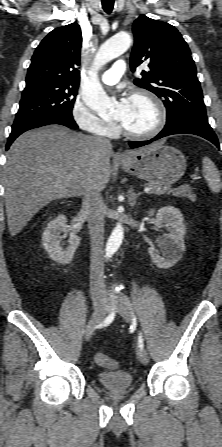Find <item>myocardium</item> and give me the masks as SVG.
Instances as JSON below:
<instances>
[{
	"label": "myocardium",
	"instance_id": "obj_1",
	"mask_svg": "<svg viewBox=\"0 0 222 447\" xmlns=\"http://www.w3.org/2000/svg\"><path fill=\"white\" fill-rule=\"evenodd\" d=\"M135 98H145L154 106L157 113V122L152 129L142 133L131 132L127 130L122 124H119L120 132L127 138L134 140L149 139L158 135L163 130L167 122V112L163 102L155 94L147 90L134 91L130 95V99Z\"/></svg>",
	"mask_w": 222,
	"mask_h": 447
}]
</instances>
